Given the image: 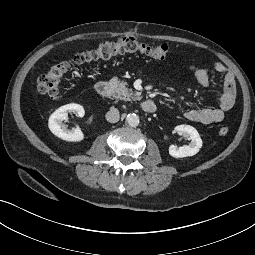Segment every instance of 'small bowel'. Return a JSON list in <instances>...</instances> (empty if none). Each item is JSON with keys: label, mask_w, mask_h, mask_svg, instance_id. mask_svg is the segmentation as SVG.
<instances>
[{"label": "small bowel", "mask_w": 255, "mask_h": 255, "mask_svg": "<svg viewBox=\"0 0 255 255\" xmlns=\"http://www.w3.org/2000/svg\"><path fill=\"white\" fill-rule=\"evenodd\" d=\"M214 69L224 74L223 92L219 97V107L192 109L185 113V117L193 122L201 124H212L222 121L225 115L233 108L236 99L235 77L230 69L221 62H215ZM189 70L204 87L211 85V79L208 72L197 66H190Z\"/></svg>", "instance_id": "obj_1"}]
</instances>
